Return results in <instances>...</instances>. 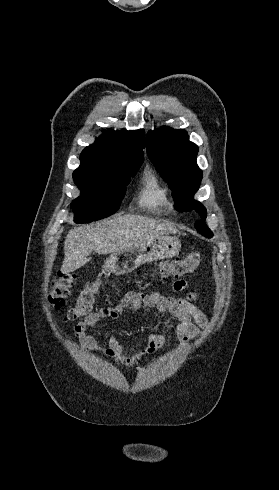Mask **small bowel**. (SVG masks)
Here are the masks:
<instances>
[{
  "label": "small bowel",
  "mask_w": 279,
  "mask_h": 490,
  "mask_svg": "<svg viewBox=\"0 0 279 490\" xmlns=\"http://www.w3.org/2000/svg\"><path fill=\"white\" fill-rule=\"evenodd\" d=\"M187 280H177L173 284L175 291H184L189 287ZM141 307L154 308L158 313H169L178 324L175 335L180 344L197 338L207 326V317L201 308V298L195 292H186L182 297L167 296L159 292H128L119 303L103 307L89 313L83 321L75 325L73 335L87 352L100 354L123 366L135 367L145 354L161 350L169 334V328H157L150 335L142 352L129 353L115 336L108 339V347L98 345L91 330L103 319L114 320L127 311H137Z\"/></svg>",
  "instance_id": "c3829d8e"
}]
</instances>
